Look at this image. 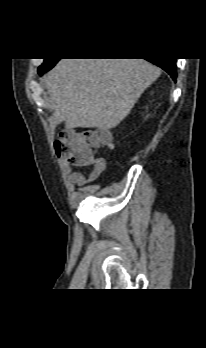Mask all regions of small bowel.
I'll return each mask as SVG.
<instances>
[{
	"instance_id": "obj_1",
	"label": "small bowel",
	"mask_w": 206,
	"mask_h": 348,
	"mask_svg": "<svg viewBox=\"0 0 206 348\" xmlns=\"http://www.w3.org/2000/svg\"><path fill=\"white\" fill-rule=\"evenodd\" d=\"M88 166H91L92 169L88 174H84L73 170L67 162H62V168L66 172L69 181L78 186H84L96 181L106 170V163L104 160H96Z\"/></svg>"
}]
</instances>
